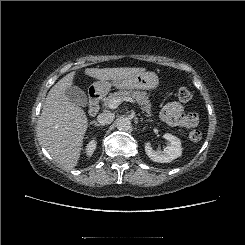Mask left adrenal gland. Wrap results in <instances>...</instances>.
I'll list each match as a JSON object with an SVG mask.
<instances>
[{
	"label": "left adrenal gland",
	"mask_w": 245,
	"mask_h": 245,
	"mask_svg": "<svg viewBox=\"0 0 245 245\" xmlns=\"http://www.w3.org/2000/svg\"><path fill=\"white\" fill-rule=\"evenodd\" d=\"M141 121H143V120H141ZM145 122H152L151 120H144Z\"/></svg>",
	"instance_id": "left-adrenal-gland-1"
}]
</instances>
